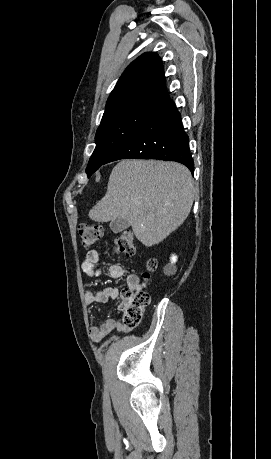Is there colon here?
Listing matches in <instances>:
<instances>
[{"label": "colon", "mask_w": 271, "mask_h": 459, "mask_svg": "<svg viewBox=\"0 0 271 459\" xmlns=\"http://www.w3.org/2000/svg\"><path fill=\"white\" fill-rule=\"evenodd\" d=\"M156 2H163L164 0H155ZM78 234L81 238L82 244L85 247H90L99 242L103 235V229L98 225L81 224L78 227ZM115 251L118 254L127 257L133 256L135 253L134 236L130 230L122 231L115 239ZM156 260L151 259L148 261V271L144 277L149 278V273L156 268ZM149 295L143 290L124 289L122 291V302L120 310L123 313L124 324L127 327L137 326L143 317L145 308L149 304Z\"/></svg>", "instance_id": "colon-1"}]
</instances>
